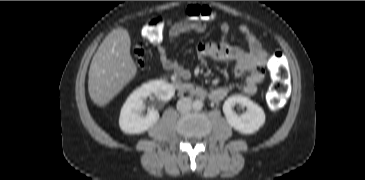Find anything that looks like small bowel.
I'll return each instance as SVG.
<instances>
[{"instance_id": "small-bowel-1", "label": "small bowel", "mask_w": 365, "mask_h": 180, "mask_svg": "<svg viewBox=\"0 0 365 180\" xmlns=\"http://www.w3.org/2000/svg\"><path fill=\"white\" fill-rule=\"evenodd\" d=\"M167 40L169 43L174 42L180 35L190 31L203 32L206 25L203 21L197 22H172L168 21ZM222 33V39L215 43H203L197 45L195 49L196 56L199 60H213L233 63V74L236 77H243L244 82L241 92L245 95H254L258 86L265 80V67L269 60V55L263 48L256 35L246 25H241L239 32L246 41V46H235L228 42L229 25L226 22L219 24ZM159 61L162 67L172 71L183 80H189L191 72L189 69L180 64L177 60L168 56L166 47L162 43L156 46ZM227 88L217 87L210 92L213 101H220L227 95Z\"/></svg>"}]
</instances>
